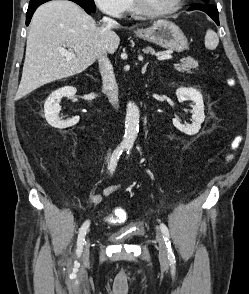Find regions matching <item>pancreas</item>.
I'll return each mask as SVG.
<instances>
[{"label":"pancreas","instance_id":"cf45deb5","mask_svg":"<svg viewBox=\"0 0 249 294\" xmlns=\"http://www.w3.org/2000/svg\"><path fill=\"white\" fill-rule=\"evenodd\" d=\"M174 68L179 72L192 73V69L198 68V62L192 57H186L181 60L180 64L174 65Z\"/></svg>","mask_w":249,"mask_h":294}]
</instances>
